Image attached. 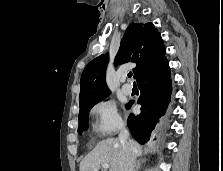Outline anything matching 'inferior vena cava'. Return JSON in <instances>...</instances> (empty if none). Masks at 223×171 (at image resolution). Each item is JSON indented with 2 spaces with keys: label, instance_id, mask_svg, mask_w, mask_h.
<instances>
[{
  "label": "inferior vena cava",
  "instance_id": "obj_1",
  "mask_svg": "<svg viewBox=\"0 0 223 171\" xmlns=\"http://www.w3.org/2000/svg\"><path fill=\"white\" fill-rule=\"evenodd\" d=\"M119 141L125 151L124 171H134L136 161L135 148L129 140V131L124 125L120 127Z\"/></svg>",
  "mask_w": 223,
  "mask_h": 171
}]
</instances>
